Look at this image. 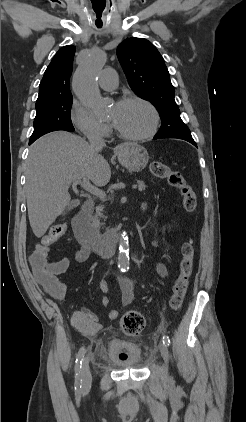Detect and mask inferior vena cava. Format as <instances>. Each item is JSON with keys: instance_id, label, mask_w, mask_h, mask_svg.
<instances>
[{"instance_id": "obj_1", "label": "inferior vena cava", "mask_w": 246, "mask_h": 422, "mask_svg": "<svg viewBox=\"0 0 246 422\" xmlns=\"http://www.w3.org/2000/svg\"><path fill=\"white\" fill-rule=\"evenodd\" d=\"M90 145L94 148H102L105 146L104 139L100 135H89L88 136Z\"/></svg>"}]
</instances>
